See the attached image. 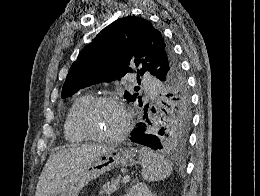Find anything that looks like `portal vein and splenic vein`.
<instances>
[{
    "label": "portal vein and splenic vein",
    "instance_id": "portal-vein-and-splenic-vein-1",
    "mask_svg": "<svg viewBox=\"0 0 260 196\" xmlns=\"http://www.w3.org/2000/svg\"><path fill=\"white\" fill-rule=\"evenodd\" d=\"M130 176L129 175H124L123 176V182H129Z\"/></svg>",
    "mask_w": 260,
    "mask_h": 196
}]
</instances>
